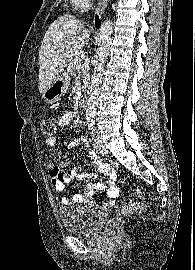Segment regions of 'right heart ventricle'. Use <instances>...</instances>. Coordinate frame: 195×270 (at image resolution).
Returning a JSON list of instances; mask_svg holds the SVG:
<instances>
[{"instance_id":"right-heart-ventricle-1","label":"right heart ventricle","mask_w":195,"mask_h":270,"mask_svg":"<svg viewBox=\"0 0 195 270\" xmlns=\"http://www.w3.org/2000/svg\"><path fill=\"white\" fill-rule=\"evenodd\" d=\"M76 5H79V6H81L82 4H81V2L79 1V0H72Z\"/></svg>"}]
</instances>
